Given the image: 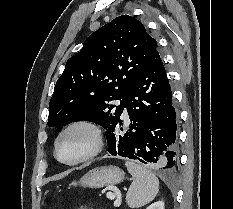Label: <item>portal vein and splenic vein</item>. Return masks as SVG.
Returning <instances> with one entry per match:
<instances>
[{
  "instance_id": "obj_1",
  "label": "portal vein and splenic vein",
  "mask_w": 233,
  "mask_h": 209,
  "mask_svg": "<svg viewBox=\"0 0 233 209\" xmlns=\"http://www.w3.org/2000/svg\"><path fill=\"white\" fill-rule=\"evenodd\" d=\"M116 192H117V198H116V200L114 201V205H115V206H119V205L121 204L120 192H118V191H116ZM106 197H107L108 199L114 200L116 196H115V194L112 193V192H107Z\"/></svg>"
}]
</instances>
